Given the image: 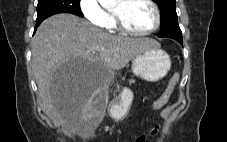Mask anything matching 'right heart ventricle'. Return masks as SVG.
Instances as JSON below:
<instances>
[{"mask_svg": "<svg viewBox=\"0 0 227 142\" xmlns=\"http://www.w3.org/2000/svg\"><path fill=\"white\" fill-rule=\"evenodd\" d=\"M103 27L109 32H116L118 30L111 13H107V19Z\"/></svg>", "mask_w": 227, "mask_h": 142, "instance_id": "right-heart-ventricle-1", "label": "right heart ventricle"}]
</instances>
